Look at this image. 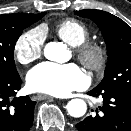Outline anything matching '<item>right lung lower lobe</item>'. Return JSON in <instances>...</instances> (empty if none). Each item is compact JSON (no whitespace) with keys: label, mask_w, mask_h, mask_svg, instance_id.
<instances>
[{"label":"right lung lower lobe","mask_w":131,"mask_h":131,"mask_svg":"<svg viewBox=\"0 0 131 131\" xmlns=\"http://www.w3.org/2000/svg\"><path fill=\"white\" fill-rule=\"evenodd\" d=\"M21 89L19 74L0 77V131H29L36 102L28 96L15 97Z\"/></svg>","instance_id":"1"}]
</instances>
